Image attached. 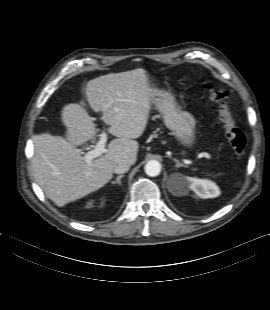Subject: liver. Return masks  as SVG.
<instances>
[{"mask_svg": "<svg viewBox=\"0 0 270 310\" xmlns=\"http://www.w3.org/2000/svg\"><path fill=\"white\" fill-rule=\"evenodd\" d=\"M150 78L139 68L103 75L87 83L90 107L103 112L102 119L110 126L109 133L118 137L90 165L77 147L92 140L96 128L80 104L69 103L63 107L61 118L67 127L66 138L48 133L33 137L34 177L57 206L63 207L102 188L112 179V168L117 161L127 160L130 165L136 162L139 144L134 139L144 133L151 108Z\"/></svg>", "mask_w": 270, "mask_h": 310, "instance_id": "1", "label": "liver"}]
</instances>
